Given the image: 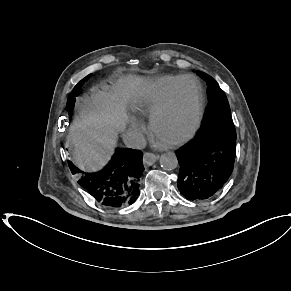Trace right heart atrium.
<instances>
[{
	"instance_id": "obj_1",
	"label": "right heart atrium",
	"mask_w": 291,
	"mask_h": 291,
	"mask_svg": "<svg viewBox=\"0 0 291 291\" xmlns=\"http://www.w3.org/2000/svg\"><path fill=\"white\" fill-rule=\"evenodd\" d=\"M130 130H131L133 133H135V134H139V135L143 134L144 131H145V129H144V127L142 126V124L139 123L138 121H135V120L131 122Z\"/></svg>"
}]
</instances>
